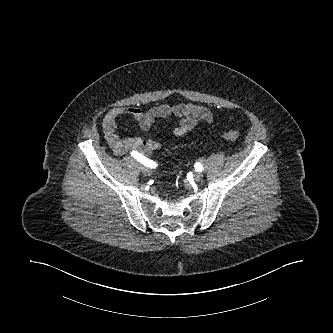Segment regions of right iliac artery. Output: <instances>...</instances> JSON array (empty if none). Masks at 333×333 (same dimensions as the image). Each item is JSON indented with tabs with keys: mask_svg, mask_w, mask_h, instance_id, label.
<instances>
[{
	"mask_svg": "<svg viewBox=\"0 0 333 333\" xmlns=\"http://www.w3.org/2000/svg\"><path fill=\"white\" fill-rule=\"evenodd\" d=\"M131 156L134 157L136 160H138L144 166H147V167H150V168H155L157 166V164L155 162L146 158L145 156L138 153L137 151H132Z\"/></svg>",
	"mask_w": 333,
	"mask_h": 333,
	"instance_id": "1",
	"label": "right iliac artery"
}]
</instances>
